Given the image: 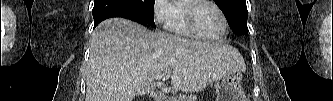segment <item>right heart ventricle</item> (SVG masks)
I'll return each instance as SVG.
<instances>
[{"mask_svg":"<svg viewBox=\"0 0 333 101\" xmlns=\"http://www.w3.org/2000/svg\"><path fill=\"white\" fill-rule=\"evenodd\" d=\"M186 3L185 0L175 1L169 28L176 35L194 38L196 36L188 29L185 22L184 8Z\"/></svg>","mask_w":333,"mask_h":101,"instance_id":"right-heart-ventricle-1","label":"right heart ventricle"}]
</instances>
